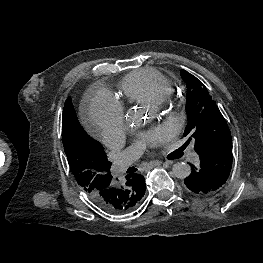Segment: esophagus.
Listing matches in <instances>:
<instances>
[{"label": "esophagus", "instance_id": "1", "mask_svg": "<svg viewBox=\"0 0 263 263\" xmlns=\"http://www.w3.org/2000/svg\"><path fill=\"white\" fill-rule=\"evenodd\" d=\"M167 163H168V164H172V162H167ZM160 164H162V162H160V161H154V162H151V163L148 164V168L150 169V168H153V167L158 166V165H160Z\"/></svg>", "mask_w": 263, "mask_h": 263}]
</instances>
